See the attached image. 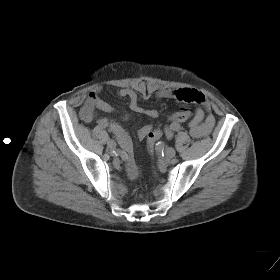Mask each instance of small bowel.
I'll list each match as a JSON object with an SVG mask.
<instances>
[{
  "instance_id": "1",
  "label": "small bowel",
  "mask_w": 280,
  "mask_h": 280,
  "mask_svg": "<svg viewBox=\"0 0 280 280\" xmlns=\"http://www.w3.org/2000/svg\"><path fill=\"white\" fill-rule=\"evenodd\" d=\"M100 93L101 88L97 87L88 94V97L80 110V116L85 122H92L95 120L98 111H115L113 106L100 98ZM117 95L119 97L129 99V107L133 112L140 113L151 118L158 115L155 109H145L141 107L138 103L136 91L131 88H121L117 91ZM158 95L162 98L198 104L200 107L194 110L193 116L188 121L189 132L194 138H203L211 133L215 125V117L210 112L211 109L208 100L201 92L194 89L182 88L176 90H164L159 92ZM111 130L115 134H120L128 138L125 131L116 122L111 123ZM151 130L152 127L150 125L144 126L138 132L139 138L143 139ZM165 135L168 138L171 136L169 125L165 128ZM125 167L127 174L131 179H135L139 175V170L132 157L127 159Z\"/></svg>"
}]
</instances>
